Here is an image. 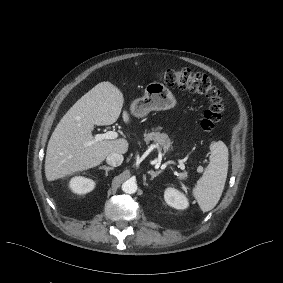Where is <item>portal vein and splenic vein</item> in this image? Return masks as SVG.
<instances>
[{
    "label": "portal vein and splenic vein",
    "mask_w": 283,
    "mask_h": 283,
    "mask_svg": "<svg viewBox=\"0 0 283 283\" xmlns=\"http://www.w3.org/2000/svg\"><path fill=\"white\" fill-rule=\"evenodd\" d=\"M119 138V133L115 131H108L105 134H98L96 135V140H102V139H117ZM177 162L181 168H184V160L183 159H177Z\"/></svg>",
    "instance_id": "portal-vein-and-splenic-vein-1"
}]
</instances>
